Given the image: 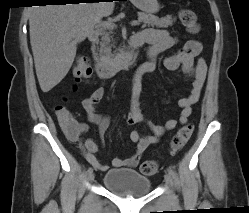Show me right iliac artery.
I'll use <instances>...</instances> for the list:
<instances>
[{
    "label": "right iliac artery",
    "instance_id": "right-iliac-artery-1",
    "mask_svg": "<svg viewBox=\"0 0 249 213\" xmlns=\"http://www.w3.org/2000/svg\"><path fill=\"white\" fill-rule=\"evenodd\" d=\"M92 172H93L92 167H89L88 170H87V173L90 174V173H92Z\"/></svg>",
    "mask_w": 249,
    "mask_h": 213
}]
</instances>
